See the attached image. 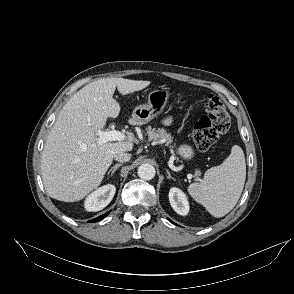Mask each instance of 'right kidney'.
<instances>
[{
  "mask_svg": "<svg viewBox=\"0 0 294 294\" xmlns=\"http://www.w3.org/2000/svg\"><path fill=\"white\" fill-rule=\"evenodd\" d=\"M116 192L114 185H104L86 198L84 202L85 209L89 212L100 211L105 208L113 199Z\"/></svg>",
  "mask_w": 294,
  "mask_h": 294,
  "instance_id": "obj_1",
  "label": "right kidney"
}]
</instances>
